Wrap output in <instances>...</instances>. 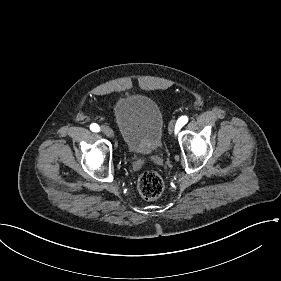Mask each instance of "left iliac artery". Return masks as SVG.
Returning <instances> with one entry per match:
<instances>
[{"label": "left iliac artery", "mask_w": 281, "mask_h": 281, "mask_svg": "<svg viewBox=\"0 0 281 281\" xmlns=\"http://www.w3.org/2000/svg\"><path fill=\"white\" fill-rule=\"evenodd\" d=\"M188 122L187 116H182L177 120L175 130L178 131L182 126H184Z\"/></svg>", "instance_id": "obj_1"}]
</instances>
